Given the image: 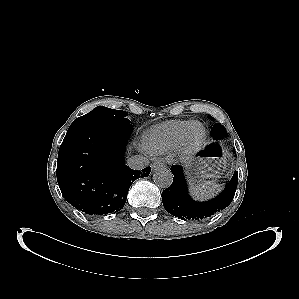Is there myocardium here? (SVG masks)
<instances>
[{"mask_svg": "<svg viewBox=\"0 0 299 299\" xmlns=\"http://www.w3.org/2000/svg\"><path fill=\"white\" fill-rule=\"evenodd\" d=\"M198 125L201 128V135L196 141L190 140V131L193 126ZM206 138V128L199 121H192L185 129L180 142L177 146V151L180 156L184 158L191 157L194 155L203 145Z\"/></svg>", "mask_w": 299, "mask_h": 299, "instance_id": "1", "label": "myocardium"}]
</instances>
